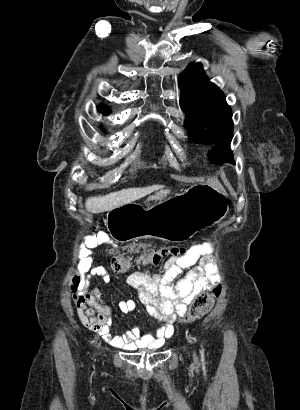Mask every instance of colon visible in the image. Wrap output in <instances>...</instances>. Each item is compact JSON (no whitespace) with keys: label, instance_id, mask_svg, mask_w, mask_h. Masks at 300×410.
I'll return each mask as SVG.
<instances>
[{"label":"colon","instance_id":"1","mask_svg":"<svg viewBox=\"0 0 300 410\" xmlns=\"http://www.w3.org/2000/svg\"><path fill=\"white\" fill-rule=\"evenodd\" d=\"M141 256L137 260L139 264L158 266L167 256H183L186 249L181 246H164L156 249H141ZM135 260L124 254H114L111 260V267L117 273L128 271L134 264ZM81 281L79 277H74L72 288L79 289ZM221 293V286H215L210 292L201 291L197 293L190 307L181 314V321L188 322L204 316L213 306L214 299Z\"/></svg>","mask_w":300,"mask_h":410}]
</instances>
